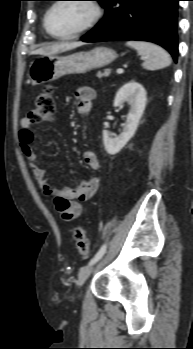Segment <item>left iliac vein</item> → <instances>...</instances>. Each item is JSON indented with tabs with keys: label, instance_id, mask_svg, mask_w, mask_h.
Returning <instances> with one entry per match:
<instances>
[{
	"label": "left iliac vein",
	"instance_id": "4c4485c4",
	"mask_svg": "<svg viewBox=\"0 0 193 349\" xmlns=\"http://www.w3.org/2000/svg\"><path fill=\"white\" fill-rule=\"evenodd\" d=\"M94 266H95L94 264H91L89 266L83 267L80 270L79 276H78V286L81 287L84 284V282L87 280V278L92 273Z\"/></svg>",
	"mask_w": 193,
	"mask_h": 349
}]
</instances>
